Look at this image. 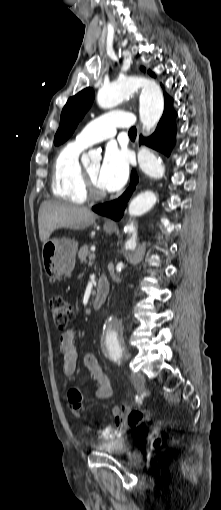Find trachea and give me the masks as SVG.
<instances>
[{
  "label": "trachea",
  "mask_w": 221,
  "mask_h": 510,
  "mask_svg": "<svg viewBox=\"0 0 221 510\" xmlns=\"http://www.w3.org/2000/svg\"><path fill=\"white\" fill-rule=\"evenodd\" d=\"M136 128L135 127H132L130 130H129V136H136Z\"/></svg>",
  "instance_id": "1"
}]
</instances>
